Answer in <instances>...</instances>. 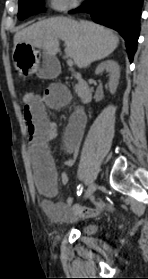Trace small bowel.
I'll use <instances>...</instances> for the list:
<instances>
[{"mask_svg":"<svg viewBox=\"0 0 148 279\" xmlns=\"http://www.w3.org/2000/svg\"><path fill=\"white\" fill-rule=\"evenodd\" d=\"M70 95L62 84H51L35 100L24 106V119L29 133V155L35 171L36 188L46 197H51L56 190L57 170L49 151L48 144L56 137L55 125L47 114V108H62L69 102ZM87 123L83 111H75L69 120L65 132L64 146L69 158L62 164L60 180L69 183L66 168L73 165L78 155L79 147ZM45 212L56 221H67L74 215L79 217H95L106 207L103 202H97L93 208H82L74 204L70 197L65 202H53L45 199L42 203Z\"/></svg>","mask_w":148,"mask_h":279,"instance_id":"obj_1","label":"small bowel"}]
</instances>
